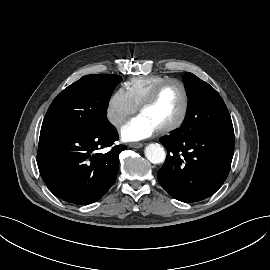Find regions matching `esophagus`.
I'll use <instances>...</instances> for the list:
<instances>
[{"mask_svg":"<svg viewBox=\"0 0 270 270\" xmlns=\"http://www.w3.org/2000/svg\"><path fill=\"white\" fill-rule=\"evenodd\" d=\"M143 146L142 143H130L129 147L131 148H141Z\"/></svg>","mask_w":270,"mask_h":270,"instance_id":"34e87169","label":"esophagus"}]
</instances>
